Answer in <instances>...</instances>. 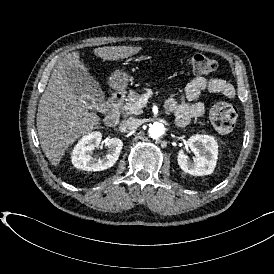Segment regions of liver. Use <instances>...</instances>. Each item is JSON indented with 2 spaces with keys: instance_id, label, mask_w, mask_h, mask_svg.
<instances>
[{
  "instance_id": "liver-1",
  "label": "liver",
  "mask_w": 274,
  "mask_h": 274,
  "mask_svg": "<svg viewBox=\"0 0 274 274\" xmlns=\"http://www.w3.org/2000/svg\"><path fill=\"white\" fill-rule=\"evenodd\" d=\"M142 48L104 46L94 49L103 60H118L137 54ZM79 74L89 75L79 53L72 52L59 62L41 96L37 112L40 145L52 165L57 166L68 147L82 135L99 128L100 117L89 112L82 97L75 95L73 81ZM73 78V79H72Z\"/></svg>"
}]
</instances>
